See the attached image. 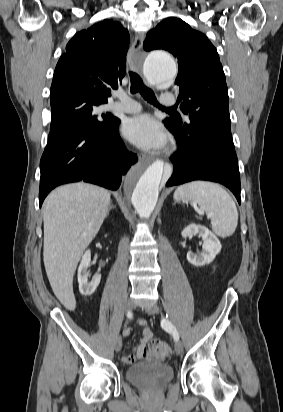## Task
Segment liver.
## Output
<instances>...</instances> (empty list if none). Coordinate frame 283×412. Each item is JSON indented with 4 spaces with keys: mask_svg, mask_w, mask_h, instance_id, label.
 <instances>
[{
    "mask_svg": "<svg viewBox=\"0 0 283 412\" xmlns=\"http://www.w3.org/2000/svg\"><path fill=\"white\" fill-rule=\"evenodd\" d=\"M110 193L87 183L54 190L44 203L43 260L52 290L68 310L76 306L73 276L110 205Z\"/></svg>",
    "mask_w": 283,
    "mask_h": 412,
    "instance_id": "1",
    "label": "liver"
}]
</instances>
